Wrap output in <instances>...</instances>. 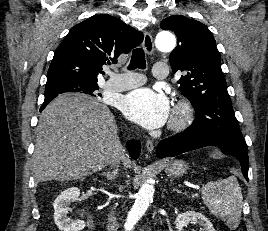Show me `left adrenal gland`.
Listing matches in <instances>:
<instances>
[{"label":"left adrenal gland","instance_id":"left-adrenal-gland-1","mask_svg":"<svg viewBox=\"0 0 268 231\" xmlns=\"http://www.w3.org/2000/svg\"><path fill=\"white\" fill-rule=\"evenodd\" d=\"M174 191L180 192V190H179V189H174Z\"/></svg>","mask_w":268,"mask_h":231}]
</instances>
